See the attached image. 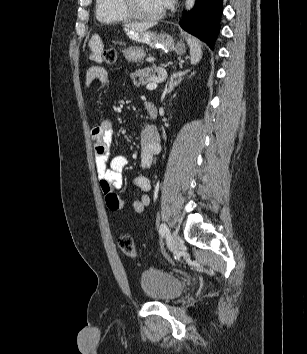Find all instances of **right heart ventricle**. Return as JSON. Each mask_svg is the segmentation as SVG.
Returning <instances> with one entry per match:
<instances>
[{
  "instance_id": "e07e8e85",
  "label": "right heart ventricle",
  "mask_w": 307,
  "mask_h": 354,
  "mask_svg": "<svg viewBox=\"0 0 307 354\" xmlns=\"http://www.w3.org/2000/svg\"><path fill=\"white\" fill-rule=\"evenodd\" d=\"M95 15L103 24L125 22L130 18L120 9L118 0H96Z\"/></svg>"
}]
</instances>
